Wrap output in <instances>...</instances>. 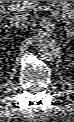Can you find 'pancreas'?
<instances>
[{
	"mask_svg": "<svg viewBox=\"0 0 74 122\" xmlns=\"http://www.w3.org/2000/svg\"><path fill=\"white\" fill-rule=\"evenodd\" d=\"M21 1H10L9 3H20ZM30 4L26 6L25 9H34L38 6L39 1H29ZM51 5L54 7H58V9L62 12L66 21H73L74 16V8L71 3L68 1H49Z\"/></svg>",
	"mask_w": 74,
	"mask_h": 122,
	"instance_id": "1",
	"label": "pancreas"
}]
</instances>
